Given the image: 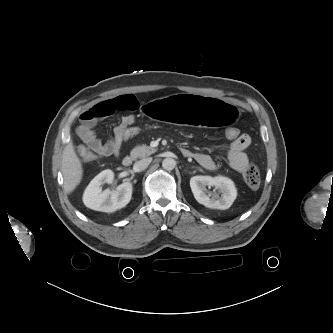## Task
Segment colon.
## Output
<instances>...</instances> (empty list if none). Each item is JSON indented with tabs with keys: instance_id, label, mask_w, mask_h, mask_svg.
Returning <instances> with one entry per match:
<instances>
[{
	"instance_id": "colon-1",
	"label": "colon",
	"mask_w": 333,
	"mask_h": 333,
	"mask_svg": "<svg viewBox=\"0 0 333 333\" xmlns=\"http://www.w3.org/2000/svg\"><path fill=\"white\" fill-rule=\"evenodd\" d=\"M144 130L133 124L126 125L119 129V134L123 141L135 139L142 135ZM226 137L233 141L238 139L242 134L238 128L228 127L225 131ZM79 157L85 162H91L96 160L97 155L89 150H78ZM244 181L246 185L251 189H257L260 186L261 176L259 168L255 164H249L243 173Z\"/></svg>"
}]
</instances>
